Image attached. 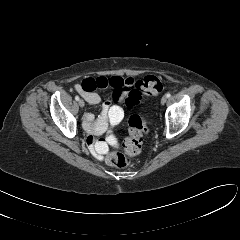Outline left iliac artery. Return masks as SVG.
<instances>
[{
    "instance_id": "44dca946",
    "label": "left iliac artery",
    "mask_w": 240,
    "mask_h": 240,
    "mask_svg": "<svg viewBox=\"0 0 240 240\" xmlns=\"http://www.w3.org/2000/svg\"><path fill=\"white\" fill-rule=\"evenodd\" d=\"M166 97H167V98H170V97H171V93H167V94H166Z\"/></svg>"
}]
</instances>
